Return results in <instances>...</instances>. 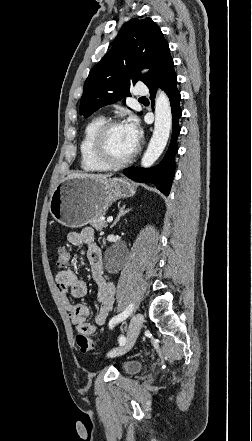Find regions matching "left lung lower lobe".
I'll return each instance as SVG.
<instances>
[{"instance_id": "left-lung-lower-lobe-1", "label": "left lung lower lobe", "mask_w": 252, "mask_h": 441, "mask_svg": "<svg viewBox=\"0 0 252 441\" xmlns=\"http://www.w3.org/2000/svg\"><path fill=\"white\" fill-rule=\"evenodd\" d=\"M161 87L167 93L173 117L172 138L168 150L159 165L150 169L130 167L123 171L124 175L130 179L142 182L153 183L166 196L170 192L171 183L174 178L175 160L174 157L178 151L177 137L180 133L178 125L179 118L182 115L180 108V92L177 89V75L174 71L173 59L170 55L169 46H167L158 61L155 74L147 87L150 91V98L155 97L157 87Z\"/></svg>"}]
</instances>
